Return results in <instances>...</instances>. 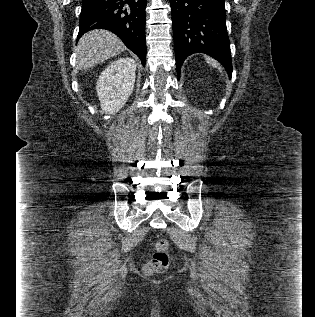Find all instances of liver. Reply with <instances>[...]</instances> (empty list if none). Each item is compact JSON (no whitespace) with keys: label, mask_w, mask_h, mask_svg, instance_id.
<instances>
[{"label":"liver","mask_w":315,"mask_h":317,"mask_svg":"<svg viewBox=\"0 0 315 317\" xmlns=\"http://www.w3.org/2000/svg\"><path fill=\"white\" fill-rule=\"evenodd\" d=\"M125 49L122 41L113 33L102 29L90 31L81 37L75 48L78 68L86 71Z\"/></svg>","instance_id":"liver-1"}]
</instances>
